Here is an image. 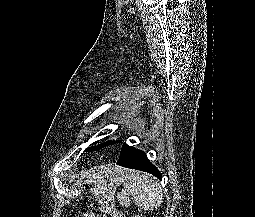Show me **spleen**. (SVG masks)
Listing matches in <instances>:
<instances>
[{"label": "spleen", "mask_w": 255, "mask_h": 217, "mask_svg": "<svg viewBox=\"0 0 255 217\" xmlns=\"http://www.w3.org/2000/svg\"><path fill=\"white\" fill-rule=\"evenodd\" d=\"M111 175L114 181L123 183L124 188L118 194L123 205L131 204L129 196L136 206L147 211L158 208L163 202L162 189L150 176L118 167L112 169Z\"/></svg>", "instance_id": "spleen-1"}]
</instances>
